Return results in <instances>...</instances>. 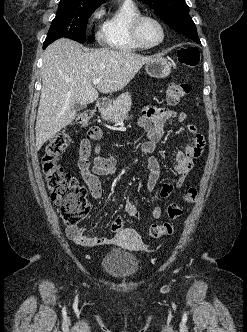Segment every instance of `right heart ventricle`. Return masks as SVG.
<instances>
[{
  "mask_svg": "<svg viewBox=\"0 0 247 332\" xmlns=\"http://www.w3.org/2000/svg\"><path fill=\"white\" fill-rule=\"evenodd\" d=\"M141 14V9L133 0H122L104 22L100 34L101 42L114 50H141L131 36V24Z\"/></svg>",
  "mask_w": 247,
  "mask_h": 332,
  "instance_id": "1",
  "label": "right heart ventricle"
}]
</instances>
